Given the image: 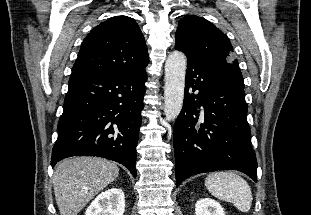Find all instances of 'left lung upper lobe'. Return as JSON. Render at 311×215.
I'll list each match as a JSON object with an SVG mask.
<instances>
[{"label":"left lung upper lobe","mask_w":311,"mask_h":215,"mask_svg":"<svg viewBox=\"0 0 311 215\" xmlns=\"http://www.w3.org/2000/svg\"><path fill=\"white\" fill-rule=\"evenodd\" d=\"M175 48L207 66L228 83L244 89L243 76L228 37L206 19L184 16L176 31Z\"/></svg>","instance_id":"obj_1"}]
</instances>
